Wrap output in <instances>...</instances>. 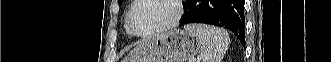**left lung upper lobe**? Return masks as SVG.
<instances>
[{
	"label": "left lung upper lobe",
	"mask_w": 331,
	"mask_h": 62,
	"mask_svg": "<svg viewBox=\"0 0 331 62\" xmlns=\"http://www.w3.org/2000/svg\"><path fill=\"white\" fill-rule=\"evenodd\" d=\"M123 0H119V3H121Z\"/></svg>",
	"instance_id": "1"
}]
</instances>
